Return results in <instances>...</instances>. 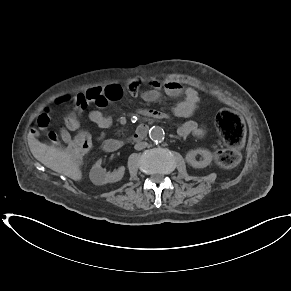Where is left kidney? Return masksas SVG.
<instances>
[{"mask_svg": "<svg viewBox=\"0 0 291 291\" xmlns=\"http://www.w3.org/2000/svg\"><path fill=\"white\" fill-rule=\"evenodd\" d=\"M197 154H200L203 159L197 161L195 159ZM212 158H213L212 153L206 149L191 150L186 154V162L193 168L207 167L211 163Z\"/></svg>", "mask_w": 291, "mask_h": 291, "instance_id": "left-kidney-1", "label": "left kidney"}]
</instances>
